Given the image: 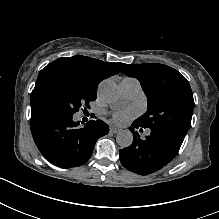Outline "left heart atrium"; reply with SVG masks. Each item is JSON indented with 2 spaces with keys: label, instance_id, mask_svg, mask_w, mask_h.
Returning <instances> with one entry per match:
<instances>
[{
  "label": "left heart atrium",
  "instance_id": "39dd6f15",
  "mask_svg": "<svg viewBox=\"0 0 219 219\" xmlns=\"http://www.w3.org/2000/svg\"><path fill=\"white\" fill-rule=\"evenodd\" d=\"M135 115L133 110H125L117 112L113 115V121L118 124L122 125L125 124L129 119L133 118Z\"/></svg>",
  "mask_w": 219,
  "mask_h": 219
}]
</instances>
